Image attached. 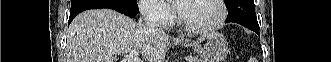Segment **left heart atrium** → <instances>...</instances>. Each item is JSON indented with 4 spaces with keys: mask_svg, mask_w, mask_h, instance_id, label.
<instances>
[{
    "mask_svg": "<svg viewBox=\"0 0 331 62\" xmlns=\"http://www.w3.org/2000/svg\"><path fill=\"white\" fill-rule=\"evenodd\" d=\"M175 2H177V1H175ZM177 8H179V9H180V6H178Z\"/></svg>",
    "mask_w": 331,
    "mask_h": 62,
    "instance_id": "1",
    "label": "left heart atrium"
}]
</instances>
